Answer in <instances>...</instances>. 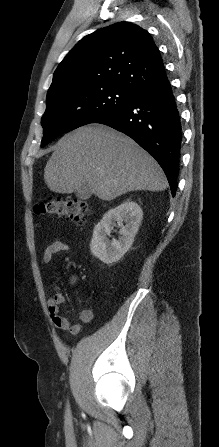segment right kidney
<instances>
[{"label":"right kidney","mask_w":219,"mask_h":447,"mask_svg":"<svg viewBox=\"0 0 219 447\" xmlns=\"http://www.w3.org/2000/svg\"><path fill=\"white\" fill-rule=\"evenodd\" d=\"M142 218L141 207L131 200L108 210L102 220L94 227L90 242L91 253L105 264L120 260L131 247ZM123 222L125 225H123ZM116 223L121 227L120 237L118 240L110 241L107 236Z\"/></svg>","instance_id":"right-kidney-1"}]
</instances>
